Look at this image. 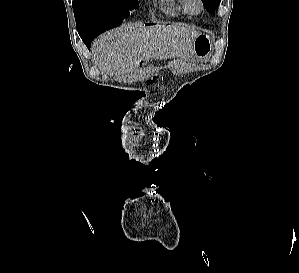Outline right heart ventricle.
Masks as SVG:
<instances>
[{
  "label": "right heart ventricle",
  "instance_id": "1",
  "mask_svg": "<svg viewBox=\"0 0 299 273\" xmlns=\"http://www.w3.org/2000/svg\"><path fill=\"white\" fill-rule=\"evenodd\" d=\"M174 1V0H173ZM178 4L175 5V2H172V7L170 11L175 14H190V10L188 8L187 0H178Z\"/></svg>",
  "mask_w": 299,
  "mask_h": 273
}]
</instances>
